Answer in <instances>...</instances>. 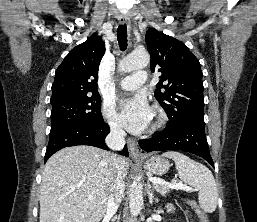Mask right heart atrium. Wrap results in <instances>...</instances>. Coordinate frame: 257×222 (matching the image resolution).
<instances>
[{
  "label": "right heart atrium",
  "instance_id": "obj_1",
  "mask_svg": "<svg viewBox=\"0 0 257 222\" xmlns=\"http://www.w3.org/2000/svg\"><path fill=\"white\" fill-rule=\"evenodd\" d=\"M102 115L112 134L122 136L124 134L120 119L115 110L109 106L102 107Z\"/></svg>",
  "mask_w": 257,
  "mask_h": 222
}]
</instances>
